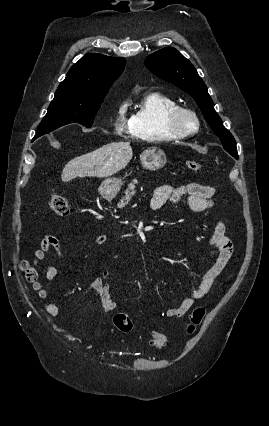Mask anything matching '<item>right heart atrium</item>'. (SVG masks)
Wrapping results in <instances>:
<instances>
[{
	"mask_svg": "<svg viewBox=\"0 0 269 426\" xmlns=\"http://www.w3.org/2000/svg\"><path fill=\"white\" fill-rule=\"evenodd\" d=\"M113 129L119 136L132 135V118L128 114V103L126 101L117 106Z\"/></svg>",
	"mask_w": 269,
	"mask_h": 426,
	"instance_id": "obj_1",
	"label": "right heart atrium"
}]
</instances>
